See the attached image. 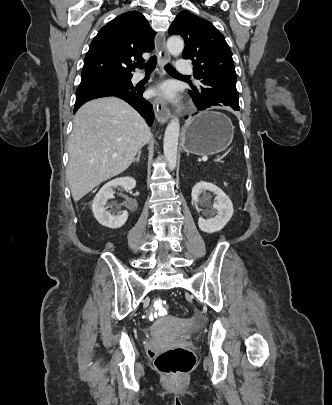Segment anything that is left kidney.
<instances>
[{"mask_svg":"<svg viewBox=\"0 0 332 405\" xmlns=\"http://www.w3.org/2000/svg\"><path fill=\"white\" fill-rule=\"evenodd\" d=\"M206 190L216 195L217 202L213 204V208L217 211V215L207 220L199 217L198 226L203 232L214 233L223 229L231 219L233 204L219 187L209 182H199L192 188L191 193L192 201L195 205L198 204L200 194Z\"/></svg>","mask_w":332,"mask_h":405,"instance_id":"1","label":"left kidney"}]
</instances>
